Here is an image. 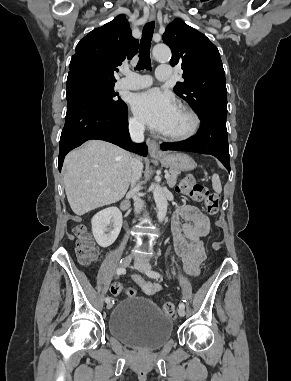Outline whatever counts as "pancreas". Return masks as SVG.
<instances>
[{"label": "pancreas", "mask_w": 291, "mask_h": 381, "mask_svg": "<svg viewBox=\"0 0 291 381\" xmlns=\"http://www.w3.org/2000/svg\"><path fill=\"white\" fill-rule=\"evenodd\" d=\"M170 177L167 179V183L170 187H173L176 184L177 177L180 175L178 170H170Z\"/></svg>", "instance_id": "obj_1"}]
</instances>
